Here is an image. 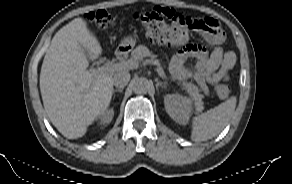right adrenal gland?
<instances>
[{"mask_svg":"<svg viewBox=\"0 0 292 184\" xmlns=\"http://www.w3.org/2000/svg\"><path fill=\"white\" fill-rule=\"evenodd\" d=\"M116 92H120V93H122V92H123V88H118V89L113 90V94H114V96H115V93H116Z\"/></svg>","mask_w":292,"mask_h":184,"instance_id":"right-adrenal-gland-1","label":"right adrenal gland"}]
</instances>
